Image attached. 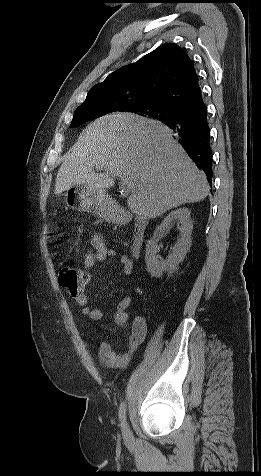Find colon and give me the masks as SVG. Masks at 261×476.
I'll return each instance as SVG.
<instances>
[{"label":"colon","mask_w":261,"mask_h":476,"mask_svg":"<svg viewBox=\"0 0 261 476\" xmlns=\"http://www.w3.org/2000/svg\"><path fill=\"white\" fill-rule=\"evenodd\" d=\"M60 285L69 293H75L82 286L85 279L80 272L72 266H61L58 272Z\"/></svg>","instance_id":"obj_1"}]
</instances>
